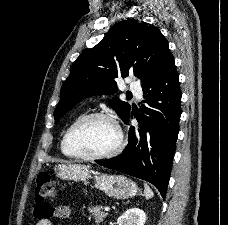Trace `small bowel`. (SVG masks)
<instances>
[{"label": "small bowel", "mask_w": 228, "mask_h": 225, "mask_svg": "<svg viewBox=\"0 0 228 225\" xmlns=\"http://www.w3.org/2000/svg\"><path fill=\"white\" fill-rule=\"evenodd\" d=\"M44 204L36 205V218H45L37 221L36 225H53L50 217L68 218L71 216V209L68 206L59 205V203L47 204L48 200H43ZM53 211V214H52Z\"/></svg>", "instance_id": "obj_1"}]
</instances>
